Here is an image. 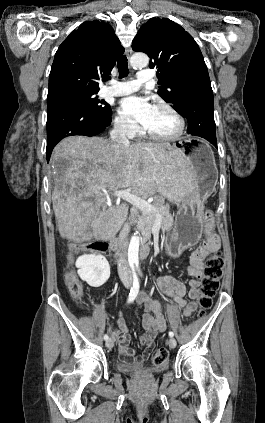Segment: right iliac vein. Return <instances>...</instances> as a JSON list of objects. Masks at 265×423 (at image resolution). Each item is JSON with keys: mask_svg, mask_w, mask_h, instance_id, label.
<instances>
[{"mask_svg": "<svg viewBox=\"0 0 265 423\" xmlns=\"http://www.w3.org/2000/svg\"><path fill=\"white\" fill-rule=\"evenodd\" d=\"M124 285H125L126 288L130 287L131 281H129V280L124 281ZM105 345L108 348H112L114 346V339L113 338L108 339L106 341Z\"/></svg>", "mask_w": 265, "mask_h": 423, "instance_id": "right-iliac-vein-1", "label": "right iliac vein"}]
</instances>
